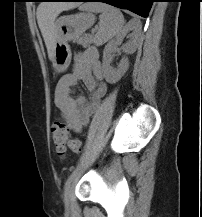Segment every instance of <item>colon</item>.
Listing matches in <instances>:
<instances>
[{"instance_id":"colon-1","label":"colon","mask_w":202,"mask_h":217,"mask_svg":"<svg viewBox=\"0 0 202 217\" xmlns=\"http://www.w3.org/2000/svg\"><path fill=\"white\" fill-rule=\"evenodd\" d=\"M51 135L53 144L59 155H63L68 147L74 153H81V142L77 138L69 137V129L65 120L57 119L54 121L51 127Z\"/></svg>"}]
</instances>
